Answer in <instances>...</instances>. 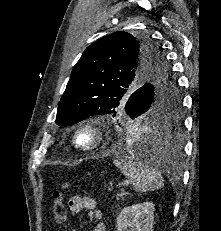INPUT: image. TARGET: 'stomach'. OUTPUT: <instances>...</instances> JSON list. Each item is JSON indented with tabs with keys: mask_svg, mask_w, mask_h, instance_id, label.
<instances>
[{
	"mask_svg": "<svg viewBox=\"0 0 221 231\" xmlns=\"http://www.w3.org/2000/svg\"><path fill=\"white\" fill-rule=\"evenodd\" d=\"M145 127V125H141V126H138V127H133L132 129L130 130H142L143 128Z\"/></svg>",
	"mask_w": 221,
	"mask_h": 231,
	"instance_id": "stomach-1",
	"label": "stomach"
}]
</instances>
